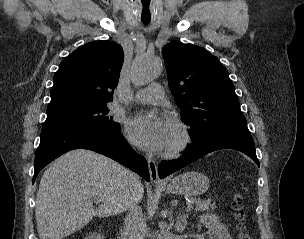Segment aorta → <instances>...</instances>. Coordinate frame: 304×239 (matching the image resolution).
<instances>
[{
	"instance_id": "1",
	"label": "aorta",
	"mask_w": 304,
	"mask_h": 239,
	"mask_svg": "<svg viewBox=\"0 0 304 239\" xmlns=\"http://www.w3.org/2000/svg\"><path fill=\"white\" fill-rule=\"evenodd\" d=\"M162 70V61L158 57L142 56L135 60L132 80L137 85H144L156 79Z\"/></svg>"
}]
</instances>
